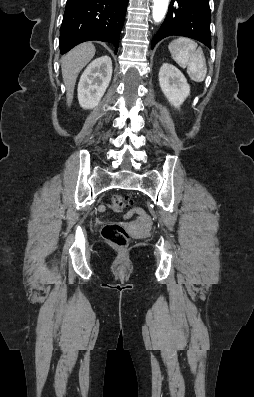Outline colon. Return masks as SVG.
<instances>
[{"mask_svg": "<svg viewBox=\"0 0 254 397\" xmlns=\"http://www.w3.org/2000/svg\"><path fill=\"white\" fill-rule=\"evenodd\" d=\"M131 204L132 200L128 196L115 194L111 197V207L115 211H121ZM102 234L108 243L117 248H126L131 242L130 235L125 228L119 224H108L104 226Z\"/></svg>", "mask_w": 254, "mask_h": 397, "instance_id": "colon-1", "label": "colon"}]
</instances>
